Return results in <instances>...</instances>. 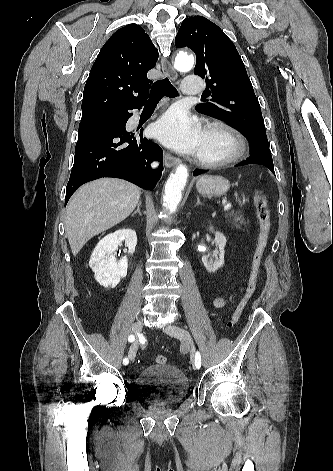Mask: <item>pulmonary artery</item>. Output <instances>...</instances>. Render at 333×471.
<instances>
[{
    "label": "pulmonary artery",
    "mask_w": 333,
    "mask_h": 471,
    "mask_svg": "<svg viewBox=\"0 0 333 471\" xmlns=\"http://www.w3.org/2000/svg\"><path fill=\"white\" fill-rule=\"evenodd\" d=\"M203 89V82L200 77L196 75L188 76L183 85V92L186 95H198Z\"/></svg>",
    "instance_id": "pulmonary-artery-1"
}]
</instances>
